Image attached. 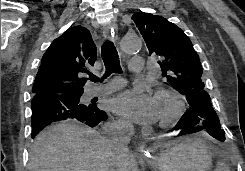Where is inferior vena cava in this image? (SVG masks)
<instances>
[{
	"label": "inferior vena cava",
	"mask_w": 245,
	"mask_h": 171,
	"mask_svg": "<svg viewBox=\"0 0 245 171\" xmlns=\"http://www.w3.org/2000/svg\"><path fill=\"white\" fill-rule=\"evenodd\" d=\"M103 132L109 136L107 144L117 153L118 156H125L128 152L127 145L131 140L133 125L129 122L121 121L113 124H106ZM103 171H116L111 164H105Z\"/></svg>",
	"instance_id": "602c4592"
}]
</instances>
